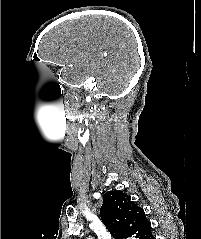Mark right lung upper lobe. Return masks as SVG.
<instances>
[{"instance_id":"right-lung-upper-lobe-1","label":"right lung upper lobe","mask_w":201,"mask_h":239,"mask_svg":"<svg viewBox=\"0 0 201 239\" xmlns=\"http://www.w3.org/2000/svg\"><path fill=\"white\" fill-rule=\"evenodd\" d=\"M100 216L115 239H150L151 223L144 210L122 191H109L103 198Z\"/></svg>"}]
</instances>
